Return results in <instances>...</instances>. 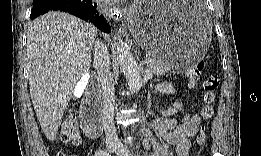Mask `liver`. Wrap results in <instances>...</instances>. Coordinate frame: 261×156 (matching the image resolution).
<instances>
[{
	"instance_id": "6515ba94",
	"label": "liver",
	"mask_w": 261,
	"mask_h": 156,
	"mask_svg": "<svg viewBox=\"0 0 261 156\" xmlns=\"http://www.w3.org/2000/svg\"><path fill=\"white\" fill-rule=\"evenodd\" d=\"M97 29L64 12H49L32 21L27 32V69L32 104L49 141L74 88L91 66Z\"/></svg>"
}]
</instances>
